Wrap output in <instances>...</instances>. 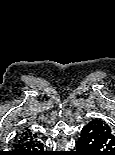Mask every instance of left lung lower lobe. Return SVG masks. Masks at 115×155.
<instances>
[{
	"label": "left lung lower lobe",
	"instance_id": "1",
	"mask_svg": "<svg viewBox=\"0 0 115 155\" xmlns=\"http://www.w3.org/2000/svg\"><path fill=\"white\" fill-rule=\"evenodd\" d=\"M76 149L77 155H115V133L105 120H92L82 128Z\"/></svg>",
	"mask_w": 115,
	"mask_h": 155
}]
</instances>
